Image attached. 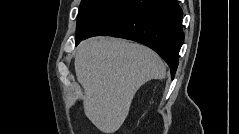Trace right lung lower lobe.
I'll return each instance as SVG.
<instances>
[{
  "label": "right lung lower lobe",
  "instance_id": "98d812e1",
  "mask_svg": "<svg viewBox=\"0 0 239 134\" xmlns=\"http://www.w3.org/2000/svg\"><path fill=\"white\" fill-rule=\"evenodd\" d=\"M183 12L176 0H121L102 16L77 45L91 36L110 35L140 42L156 51L174 78L184 41Z\"/></svg>",
  "mask_w": 239,
  "mask_h": 134
}]
</instances>
